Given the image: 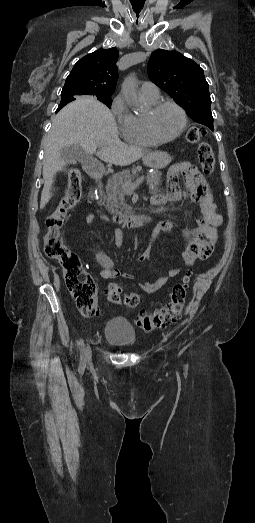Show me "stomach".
<instances>
[{
    "label": "stomach",
    "instance_id": "obj_1",
    "mask_svg": "<svg viewBox=\"0 0 255 523\" xmlns=\"http://www.w3.org/2000/svg\"><path fill=\"white\" fill-rule=\"evenodd\" d=\"M172 160V153L170 151H160L158 154H147L144 156V164L152 170H161L165 168L163 162H170Z\"/></svg>",
    "mask_w": 255,
    "mask_h": 523
}]
</instances>
